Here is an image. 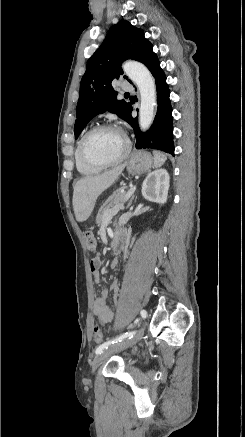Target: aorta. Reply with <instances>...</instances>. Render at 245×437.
<instances>
[{"label": "aorta", "mask_w": 245, "mask_h": 437, "mask_svg": "<svg viewBox=\"0 0 245 437\" xmlns=\"http://www.w3.org/2000/svg\"><path fill=\"white\" fill-rule=\"evenodd\" d=\"M126 75L136 84L140 92L139 125L147 130L154 120L156 86L150 71L137 61H127L123 65Z\"/></svg>", "instance_id": "obj_1"}]
</instances>
